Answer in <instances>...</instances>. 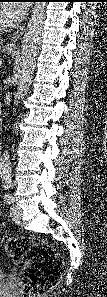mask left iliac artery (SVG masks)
Wrapping results in <instances>:
<instances>
[{"label": "left iliac artery", "mask_w": 107, "mask_h": 297, "mask_svg": "<svg viewBox=\"0 0 107 297\" xmlns=\"http://www.w3.org/2000/svg\"><path fill=\"white\" fill-rule=\"evenodd\" d=\"M3 199L6 204H12L14 202V197L9 193L5 194Z\"/></svg>", "instance_id": "1"}]
</instances>
